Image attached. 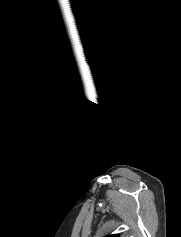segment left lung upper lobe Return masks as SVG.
Listing matches in <instances>:
<instances>
[{
    "instance_id": "1",
    "label": "left lung upper lobe",
    "mask_w": 181,
    "mask_h": 237,
    "mask_svg": "<svg viewBox=\"0 0 181 237\" xmlns=\"http://www.w3.org/2000/svg\"><path fill=\"white\" fill-rule=\"evenodd\" d=\"M106 237H119V235L118 234H113V235H108Z\"/></svg>"
}]
</instances>
